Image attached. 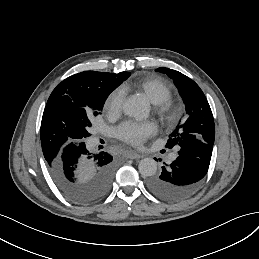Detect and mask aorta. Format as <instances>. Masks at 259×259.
I'll return each mask as SVG.
<instances>
[{
  "label": "aorta",
  "instance_id": "obj_1",
  "mask_svg": "<svg viewBox=\"0 0 259 259\" xmlns=\"http://www.w3.org/2000/svg\"><path fill=\"white\" fill-rule=\"evenodd\" d=\"M123 112L130 117L140 118L147 114V107L140 98L131 97L124 102ZM138 170L143 177L153 176L157 172V162L152 158H144L139 162Z\"/></svg>",
  "mask_w": 259,
  "mask_h": 259
}]
</instances>
